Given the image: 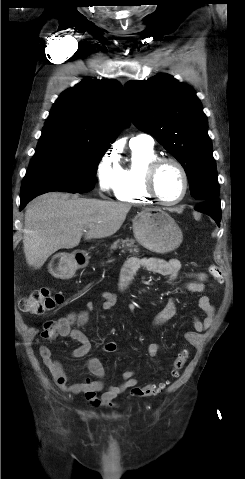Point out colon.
<instances>
[{
  "mask_svg": "<svg viewBox=\"0 0 245 479\" xmlns=\"http://www.w3.org/2000/svg\"><path fill=\"white\" fill-rule=\"evenodd\" d=\"M209 271L210 274L215 278L220 276V269L215 265L210 266ZM63 300L64 296L61 292L50 288H39L21 300L20 308L24 313L29 315H41L62 304ZM59 334L60 327L57 321L50 320L44 323L42 331L43 338L53 339ZM188 356L189 352L186 348L181 349L177 353L170 370V376L172 378L179 376L181 369L188 360ZM168 383V381H160L143 387H137L132 390L131 395L138 398L152 397L159 394L160 391H162L168 385Z\"/></svg>",
  "mask_w": 245,
  "mask_h": 479,
  "instance_id": "1",
  "label": "colon"
}]
</instances>
